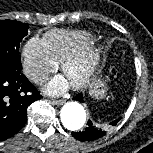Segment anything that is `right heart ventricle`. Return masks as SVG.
<instances>
[{
  "instance_id": "1",
  "label": "right heart ventricle",
  "mask_w": 153,
  "mask_h": 153,
  "mask_svg": "<svg viewBox=\"0 0 153 153\" xmlns=\"http://www.w3.org/2000/svg\"><path fill=\"white\" fill-rule=\"evenodd\" d=\"M44 41L57 63L79 53L94 42V36L83 30H51Z\"/></svg>"
}]
</instances>
